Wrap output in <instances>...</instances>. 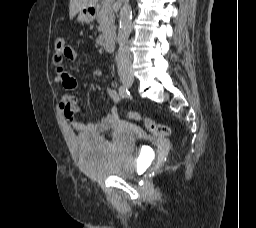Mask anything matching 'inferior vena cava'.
I'll use <instances>...</instances> for the list:
<instances>
[{
  "label": "inferior vena cava",
  "mask_w": 256,
  "mask_h": 228,
  "mask_svg": "<svg viewBox=\"0 0 256 228\" xmlns=\"http://www.w3.org/2000/svg\"><path fill=\"white\" fill-rule=\"evenodd\" d=\"M117 67L119 76L131 74V55L126 43H120L117 55Z\"/></svg>",
  "instance_id": "602c4592"
}]
</instances>
